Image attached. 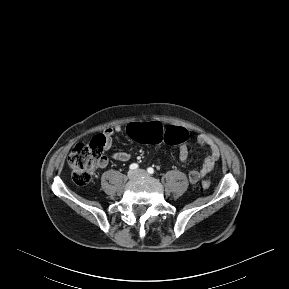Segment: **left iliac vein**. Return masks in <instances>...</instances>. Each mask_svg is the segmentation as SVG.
Wrapping results in <instances>:
<instances>
[{"label": "left iliac vein", "instance_id": "left-iliac-vein-1", "mask_svg": "<svg viewBox=\"0 0 289 289\" xmlns=\"http://www.w3.org/2000/svg\"><path fill=\"white\" fill-rule=\"evenodd\" d=\"M138 176H148L147 171L143 170V169H139L136 171Z\"/></svg>", "mask_w": 289, "mask_h": 289}]
</instances>
